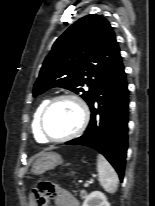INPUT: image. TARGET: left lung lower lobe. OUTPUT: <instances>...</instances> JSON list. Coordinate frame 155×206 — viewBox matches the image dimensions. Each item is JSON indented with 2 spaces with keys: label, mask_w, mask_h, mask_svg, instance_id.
<instances>
[{
  "label": "left lung lower lobe",
  "mask_w": 155,
  "mask_h": 206,
  "mask_svg": "<svg viewBox=\"0 0 155 206\" xmlns=\"http://www.w3.org/2000/svg\"><path fill=\"white\" fill-rule=\"evenodd\" d=\"M122 60L102 82L89 104L91 120L85 133L66 142L93 148L106 157L123 181L128 145V99Z\"/></svg>",
  "instance_id": "left-lung-lower-lobe-1"
}]
</instances>
